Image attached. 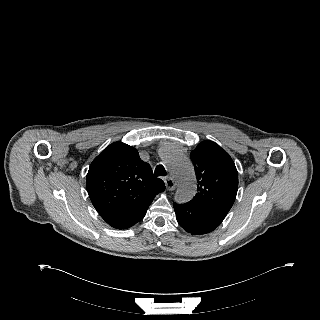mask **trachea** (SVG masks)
Returning a JSON list of instances; mask_svg holds the SVG:
<instances>
[{
  "label": "trachea",
  "instance_id": "trachea-1",
  "mask_svg": "<svg viewBox=\"0 0 320 320\" xmlns=\"http://www.w3.org/2000/svg\"><path fill=\"white\" fill-rule=\"evenodd\" d=\"M166 175L167 173L165 168L162 165H157L155 168V176L158 177V176H166Z\"/></svg>",
  "mask_w": 320,
  "mask_h": 320
}]
</instances>
